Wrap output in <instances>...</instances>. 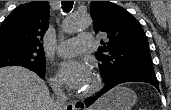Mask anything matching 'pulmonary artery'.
Masks as SVG:
<instances>
[{
  "label": "pulmonary artery",
  "mask_w": 171,
  "mask_h": 110,
  "mask_svg": "<svg viewBox=\"0 0 171 110\" xmlns=\"http://www.w3.org/2000/svg\"><path fill=\"white\" fill-rule=\"evenodd\" d=\"M94 44V36L91 33H81L75 38L67 39L58 44L56 51L61 56H75Z\"/></svg>",
  "instance_id": "pulmonary-artery-1"
}]
</instances>
